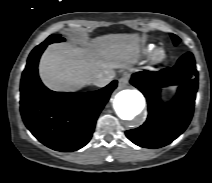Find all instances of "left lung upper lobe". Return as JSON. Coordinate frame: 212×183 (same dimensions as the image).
I'll list each match as a JSON object with an SVG mask.
<instances>
[{"instance_id":"left-lung-upper-lobe-1","label":"left lung upper lobe","mask_w":212,"mask_h":183,"mask_svg":"<svg viewBox=\"0 0 212 183\" xmlns=\"http://www.w3.org/2000/svg\"><path fill=\"white\" fill-rule=\"evenodd\" d=\"M171 37H172L173 42H174L175 45H177L180 42V39L176 35L171 34Z\"/></svg>"}]
</instances>
